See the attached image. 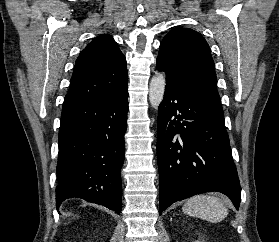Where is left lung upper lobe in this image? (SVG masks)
I'll return each mask as SVG.
<instances>
[{
	"mask_svg": "<svg viewBox=\"0 0 279 242\" xmlns=\"http://www.w3.org/2000/svg\"><path fill=\"white\" fill-rule=\"evenodd\" d=\"M157 63L224 115L211 51L200 33L178 27L169 31L160 44Z\"/></svg>",
	"mask_w": 279,
	"mask_h": 242,
	"instance_id": "left-lung-upper-lobe-1",
	"label": "left lung upper lobe"
}]
</instances>
